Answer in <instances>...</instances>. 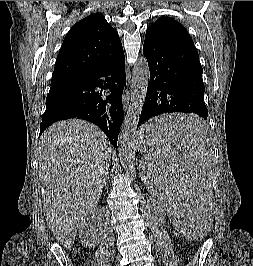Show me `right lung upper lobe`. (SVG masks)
Returning a JSON list of instances; mask_svg holds the SVG:
<instances>
[{
	"label": "right lung upper lobe",
	"instance_id": "right-lung-upper-lobe-1",
	"mask_svg": "<svg viewBox=\"0 0 253 266\" xmlns=\"http://www.w3.org/2000/svg\"><path fill=\"white\" fill-rule=\"evenodd\" d=\"M124 55L118 33L101 13L76 23L66 35L57 56L51 86L66 84L99 70Z\"/></svg>",
	"mask_w": 253,
	"mask_h": 266
}]
</instances>
